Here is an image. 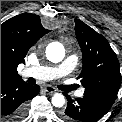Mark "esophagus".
Returning <instances> with one entry per match:
<instances>
[{"label": "esophagus", "instance_id": "obj_1", "mask_svg": "<svg viewBox=\"0 0 122 122\" xmlns=\"http://www.w3.org/2000/svg\"><path fill=\"white\" fill-rule=\"evenodd\" d=\"M44 90H45L47 93H49V94H54V93L57 92V90H56L54 87L50 86V85L45 86V87H44Z\"/></svg>", "mask_w": 122, "mask_h": 122}]
</instances>
